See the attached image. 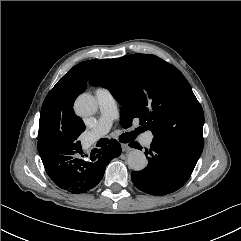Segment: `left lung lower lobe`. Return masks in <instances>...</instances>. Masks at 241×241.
<instances>
[{"mask_svg":"<svg viewBox=\"0 0 241 241\" xmlns=\"http://www.w3.org/2000/svg\"><path fill=\"white\" fill-rule=\"evenodd\" d=\"M142 149L138 142L129 144ZM148 166L132 172V181L141 191L151 195H166L181 188L191 176L201 155L179 144L153 139L150 149H145Z\"/></svg>","mask_w":241,"mask_h":241,"instance_id":"0a47b994","label":"left lung lower lobe"}]
</instances>
